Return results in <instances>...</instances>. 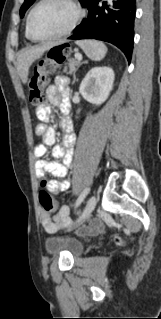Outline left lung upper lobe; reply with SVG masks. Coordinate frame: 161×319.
<instances>
[{"label": "left lung upper lobe", "instance_id": "left-lung-upper-lobe-1", "mask_svg": "<svg viewBox=\"0 0 161 319\" xmlns=\"http://www.w3.org/2000/svg\"><path fill=\"white\" fill-rule=\"evenodd\" d=\"M35 0H25L21 9H20V17H23L26 10L34 3ZM83 7H86L90 0H79Z\"/></svg>", "mask_w": 161, "mask_h": 319}]
</instances>
